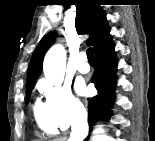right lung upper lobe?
Instances as JSON below:
<instances>
[{"instance_id": "obj_1", "label": "right lung upper lobe", "mask_w": 155, "mask_h": 141, "mask_svg": "<svg viewBox=\"0 0 155 141\" xmlns=\"http://www.w3.org/2000/svg\"><path fill=\"white\" fill-rule=\"evenodd\" d=\"M76 7L75 26L78 31L91 34L87 42L94 47L110 31L106 14L95 0H79ZM55 37V32L48 33L36 47L28 67L26 86L33 85L38 78L44 54Z\"/></svg>"}]
</instances>
